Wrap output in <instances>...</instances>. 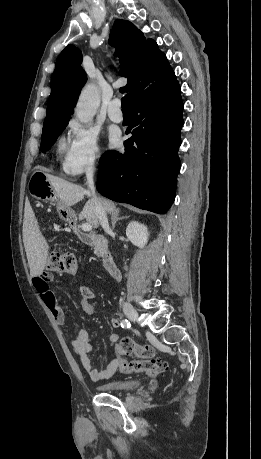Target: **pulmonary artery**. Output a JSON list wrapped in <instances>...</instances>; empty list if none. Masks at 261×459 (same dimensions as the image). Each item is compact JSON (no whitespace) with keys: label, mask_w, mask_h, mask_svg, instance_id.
Returning a JSON list of instances; mask_svg holds the SVG:
<instances>
[{"label":"pulmonary artery","mask_w":261,"mask_h":459,"mask_svg":"<svg viewBox=\"0 0 261 459\" xmlns=\"http://www.w3.org/2000/svg\"><path fill=\"white\" fill-rule=\"evenodd\" d=\"M121 103L119 99H113L108 107L109 118L116 123L123 121V113L120 109Z\"/></svg>","instance_id":"obj_1"}]
</instances>
